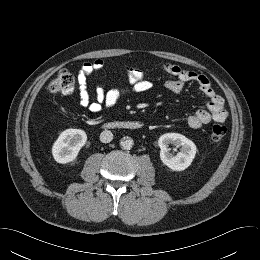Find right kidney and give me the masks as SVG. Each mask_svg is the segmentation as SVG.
Listing matches in <instances>:
<instances>
[{
	"instance_id": "right-kidney-1",
	"label": "right kidney",
	"mask_w": 260,
	"mask_h": 260,
	"mask_svg": "<svg viewBox=\"0 0 260 260\" xmlns=\"http://www.w3.org/2000/svg\"><path fill=\"white\" fill-rule=\"evenodd\" d=\"M87 135L81 129H66L52 146V155L56 162L69 163L76 159L80 149L85 145Z\"/></svg>"
}]
</instances>
